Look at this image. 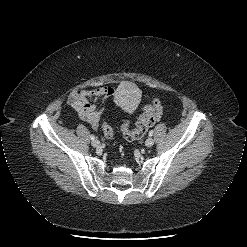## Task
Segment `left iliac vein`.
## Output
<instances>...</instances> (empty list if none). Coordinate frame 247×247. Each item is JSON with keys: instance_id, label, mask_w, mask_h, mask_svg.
<instances>
[{"instance_id": "left-iliac-vein-1", "label": "left iliac vein", "mask_w": 247, "mask_h": 247, "mask_svg": "<svg viewBox=\"0 0 247 247\" xmlns=\"http://www.w3.org/2000/svg\"><path fill=\"white\" fill-rule=\"evenodd\" d=\"M153 144H154V139L151 138V137H149V138L145 141V145H146L147 147H151V146H153Z\"/></svg>"}]
</instances>
